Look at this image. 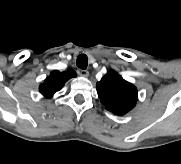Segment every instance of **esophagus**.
<instances>
[{"label": "esophagus", "mask_w": 181, "mask_h": 164, "mask_svg": "<svg viewBox=\"0 0 181 164\" xmlns=\"http://www.w3.org/2000/svg\"><path fill=\"white\" fill-rule=\"evenodd\" d=\"M78 74L83 77L89 76V72L87 70H83V69L78 70Z\"/></svg>", "instance_id": "1"}]
</instances>
